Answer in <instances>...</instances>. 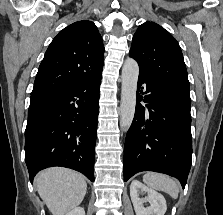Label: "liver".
<instances>
[{
    "mask_svg": "<svg viewBox=\"0 0 223 215\" xmlns=\"http://www.w3.org/2000/svg\"><path fill=\"white\" fill-rule=\"evenodd\" d=\"M38 193L53 215H64L81 203L87 189L84 175L67 167H48L35 177Z\"/></svg>",
    "mask_w": 223,
    "mask_h": 215,
    "instance_id": "liver-1",
    "label": "liver"
}]
</instances>
